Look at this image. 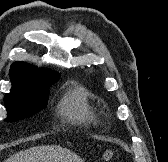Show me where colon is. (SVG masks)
Masks as SVG:
<instances>
[{"instance_id": "obj_1", "label": "colon", "mask_w": 168, "mask_h": 162, "mask_svg": "<svg viewBox=\"0 0 168 162\" xmlns=\"http://www.w3.org/2000/svg\"><path fill=\"white\" fill-rule=\"evenodd\" d=\"M115 154L113 151L107 150L103 153V160L105 162H111L114 160Z\"/></svg>"}]
</instances>
